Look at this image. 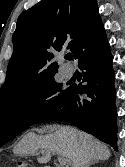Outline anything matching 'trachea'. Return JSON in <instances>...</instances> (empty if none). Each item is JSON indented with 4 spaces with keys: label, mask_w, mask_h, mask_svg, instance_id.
<instances>
[{
    "label": "trachea",
    "mask_w": 125,
    "mask_h": 167,
    "mask_svg": "<svg viewBox=\"0 0 125 167\" xmlns=\"http://www.w3.org/2000/svg\"><path fill=\"white\" fill-rule=\"evenodd\" d=\"M65 58L67 60H72L73 59V55L72 54H67Z\"/></svg>",
    "instance_id": "trachea-1"
}]
</instances>
